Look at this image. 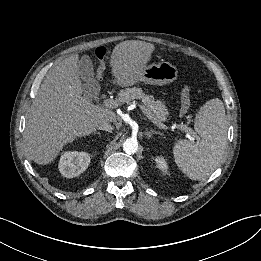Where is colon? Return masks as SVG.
Wrapping results in <instances>:
<instances>
[{"instance_id":"1","label":"colon","mask_w":261,"mask_h":261,"mask_svg":"<svg viewBox=\"0 0 261 261\" xmlns=\"http://www.w3.org/2000/svg\"><path fill=\"white\" fill-rule=\"evenodd\" d=\"M184 91H185V93H186L187 95H190V92H189V89H188V88H185ZM180 113H181V114H185V113H184V109H183L182 107L180 108Z\"/></svg>"}]
</instances>
